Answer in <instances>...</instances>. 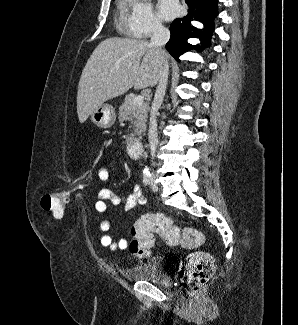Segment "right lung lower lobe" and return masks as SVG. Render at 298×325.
Wrapping results in <instances>:
<instances>
[{"label":"right lung lower lobe","instance_id":"obj_1","mask_svg":"<svg viewBox=\"0 0 298 325\" xmlns=\"http://www.w3.org/2000/svg\"><path fill=\"white\" fill-rule=\"evenodd\" d=\"M188 4V14L173 21L170 26L171 37L166 49L179 62V56L188 50H200V47L187 43L189 38L200 37L203 47L209 46L211 33L214 30L213 20L218 14L217 0H185ZM199 20L205 26L202 30L193 26L192 22Z\"/></svg>","mask_w":298,"mask_h":325}]
</instances>
